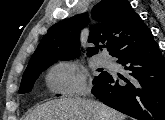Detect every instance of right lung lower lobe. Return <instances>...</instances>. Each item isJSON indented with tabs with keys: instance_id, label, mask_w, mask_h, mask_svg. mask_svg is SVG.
Returning <instances> with one entry per match:
<instances>
[{
	"instance_id": "obj_1",
	"label": "right lung lower lobe",
	"mask_w": 165,
	"mask_h": 120,
	"mask_svg": "<svg viewBox=\"0 0 165 120\" xmlns=\"http://www.w3.org/2000/svg\"><path fill=\"white\" fill-rule=\"evenodd\" d=\"M114 57L129 78L108 75L92 93L104 104L138 120H165V58L150 32Z\"/></svg>"
}]
</instances>
